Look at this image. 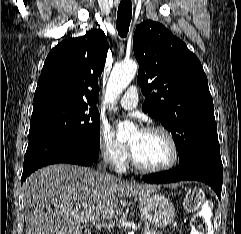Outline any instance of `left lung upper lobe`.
Here are the masks:
<instances>
[{"mask_svg": "<svg viewBox=\"0 0 241 234\" xmlns=\"http://www.w3.org/2000/svg\"><path fill=\"white\" fill-rule=\"evenodd\" d=\"M133 50L143 111L171 133L179 164L220 157L214 105L198 58L162 24L148 20L136 27Z\"/></svg>", "mask_w": 241, "mask_h": 234, "instance_id": "5c2ea615", "label": "left lung upper lobe"}]
</instances>
